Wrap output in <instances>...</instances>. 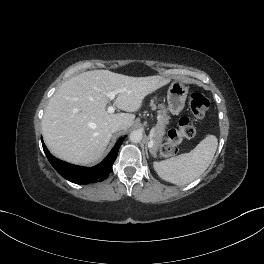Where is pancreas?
<instances>
[{
	"label": "pancreas",
	"mask_w": 264,
	"mask_h": 264,
	"mask_svg": "<svg viewBox=\"0 0 264 264\" xmlns=\"http://www.w3.org/2000/svg\"><path fill=\"white\" fill-rule=\"evenodd\" d=\"M151 105L153 108H156V105L154 104L153 101H151ZM158 122L155 127V132L153 135V141L154 144L151 148V152L153 154H156L158 149L162 146V141H163V135L165 134V128L166 124H168L169 121V116H168V110L165 108L163 104L158 105Z\"/></svg>",
	"instance_id": "obj_1"
}]
</instances>
